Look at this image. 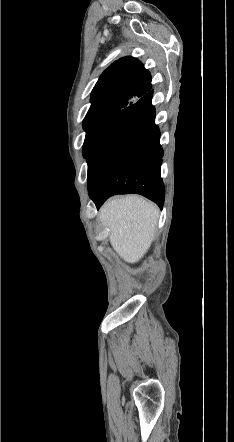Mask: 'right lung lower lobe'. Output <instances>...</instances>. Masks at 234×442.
<instances>
[{
    "instance_id": "right-lung-lower-lobe-1",
    "label": "right lung lower lobe",
    "mask_w": 234,
    "mask_h": 442,
    "mask_svg": "<svg viewBox=\"0 0 234 442\" xmlns=\"http://www.w3.org/2000/svg\"><path fill=\"white\" fill-rule=\"evenodd\" d=\"M153 90L119 111L87 157L88 190L99 208L115 194H141L163 207V150Z\"/></svg>"
}]
</instances>
